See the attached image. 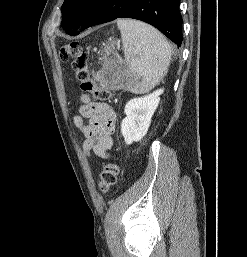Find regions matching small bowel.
<instances>
[{"label": "small bowel", "mask_w": 247, "mask_h": 257, "mask_svg": "<svg viewBox=\"0 0 247 257\" xmlns=\"http://www.w3.org/2000/svg\"><path fill=\"white\" fill-rule=\"evenodd\" d=\"M82 102L80 115L74 121L85 136L83 151L88 157L93 153L107 158L113 146L116 113L110 105L93 102L86 95L82 96ZM84 119L88 120L87 124H84Z\"/></svg>", "instance_id": "obj_1"}]
</instances>
